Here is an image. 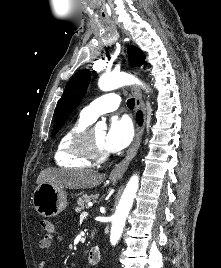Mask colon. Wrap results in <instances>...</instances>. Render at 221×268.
Returning <instances> with one entry per match:
<instances>
[{
	"label": "colon",
	"mask_w": 221,
	"mask_h": 268,
	"mask_svg": "<svg viewBox=\"0 0 221 268\" xmlns=\"http://www.w3.org/2000/svg\"><path fill=\"white\" fill-rule=\"evenodd\" d=\"M39 223H40V227L45 232H51L54 228L53 224L47 219H41Z\"/></svg>",
	"instance_id": "1"
}]
</instances>
